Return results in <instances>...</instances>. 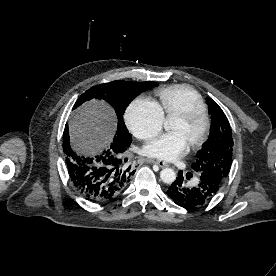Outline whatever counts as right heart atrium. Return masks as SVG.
<instances>
[{"label":"right heart atrium","instance_id":"obj_1","mask_svg":"<svg viewBox=\"0 0 276 276\" xmlns=\"http://www.w3.org/2000/svg\"><path fill=\"white\" fill-rule=\"evenodd\" d=\"M125 121L137 138L148 140L162 130L164 115L157 103L145 97H138L128 106Z\"/></svg>","mask_w":276,"mask_h":276}]
</instances>
